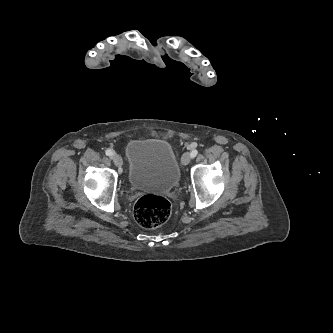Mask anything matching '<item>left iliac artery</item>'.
Here are the masks:
<instances>
[{
	"mask_svg": "<svg viewBox=\"0 0 333 333\" xmlns=\"http://www.w3.org/2000/svg\"><path fill=\"white\" fill-rule=\"evenodd\" d=\"M190 154H191V157L194 158L198 154V151L196 149H194L191 151Z\"/></svg>",
	"mask_w": 333,
	"mask_h": 333,
	"instance_id": "44dca946",
	"label": "left iliac artery"
}]
</instances>
